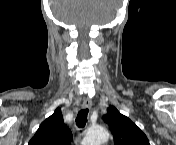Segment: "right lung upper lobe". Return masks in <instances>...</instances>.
I'll use <instances>...</instances> for the list:
<instances>
[{"label":"right lung upper lobe","instance_id":"cb5924a9","mask_svg":"<svg viewBox=\"0 0 176 145\" xmlns=\"http://www.w3.org/2000/svg\"><path fill=\"white\" fill-rule=\"evenodd\" d=\"M73 139L69 128L63 123L61 109L41 123L28 145H70Z\"/></svg>","mask_w":176,"mask_h":145}]
</instances>
